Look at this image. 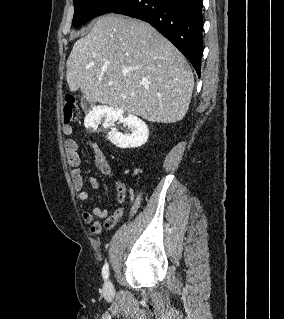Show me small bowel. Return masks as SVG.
I'll return each mask as SVG.
<instances>
[{
  "label": "small bowel",
  "mask_w": 284,
  "mask_h": 319,
  "mask_svg": "<svg viewBox=\"0 0 284 319\" xmlns=\"http://www.w3.org/2000/svg\"><path fill=\"white\" fill-rule=\"evenodd\" d=\"M63 133L65 135H70L72 133V127L70 125H65L63 127ZM87 145L90 146L93 151L96 168L105 176L112 177V168L101 147L93 141H87ZM64 149L67 162L72 167L71 177L74 188L78 192V199L80 202L85 203L90 198V192L98 189V182L93 177H89L87 180L83 178L79 146L76 140L72 138L66 139ZM117 198L119 207L111 214L107 209L98 206L94 207L91 211L82 213V219L86 224L90 225L92 234L99 235L103 229L111 230L121 218L124 212L123 204L126 198L125 189L123 187L119 188Z\"/></svg>",
  "instance_id": "obj_1"
}]
</instances>
